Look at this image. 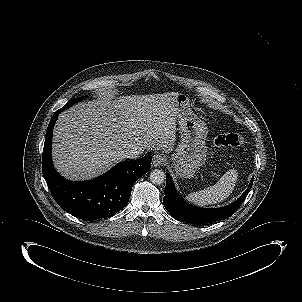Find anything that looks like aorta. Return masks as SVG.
<instances>
[{
  "label": "aorta",
  "instance_id": "1",
  "mask_svg": "<svg viewBox=\"0 0 302 302\" xmlns=\"http://www.w3.org/2000/svg\"><path fill=\"white\" fill-rule=\"evenodd\" d=\"M166 175L160 169H155L150 173V181L155 185H160L165 182Z\"/></svg>",
  "mask_w": 302,
  "mask_h": 302
}]
</instances>
